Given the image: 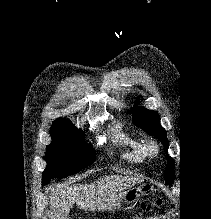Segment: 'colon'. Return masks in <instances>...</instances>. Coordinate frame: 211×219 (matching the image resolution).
<instances>
[{
    "label": "colon",
    "mask_w": 211,
    "mask_h": 219,
    "mask_svg": "<svg viewBox=\"0 0 211 219\" xmlns=\"http://www.w3.org/2000/svg\"><path fill=\"white\" fill-rule=\"evenodd\" d=\"M160 205V201H152V202H147V203H142L141 204V213H148L155 207Z\"/></svg>",
    "instance_id": "colon-1"
}]
</instances>
